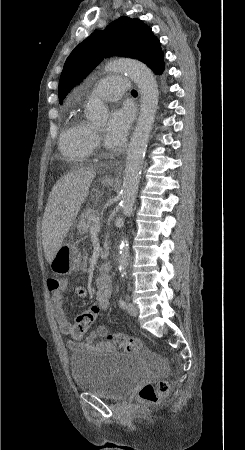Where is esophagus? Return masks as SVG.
<instances>
[{
  "label": "esophagus",
  "instance_id": "1",
  "mask_svg": "<svg viewBox=\"0 0 245 450\" xmlns=\"http://www.w3.org/2000/svg\"><path fill=\"white\" fill-rule=\"evenodd\" d=\"M121 171H122V166H119L112 173L106 174L104 176V179L115 180L120 176Z\"/></svg>",
  "mask_w": 245,
  "mask_h": 450
}]
</instances>
